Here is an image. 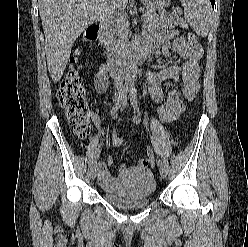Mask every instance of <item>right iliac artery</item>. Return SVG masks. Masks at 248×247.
<instances>
[{
  "label": "right iliac artery",
  "mask_w": 248,
  "mask_h": 247,
  "mask_svg": "<svg viewBox=\"0 0 248 247\" xmlns=\"http://www.w3.org/2000/svg\"><path fill=\"white\" fill-rule=\"evenodd\" d=\"M127 92H128V87H124L122 90L121 96H119L118 101L115 103V105L111 109V117L117 116V112H118L119 108L121 107V104L123 102V98L127 95ZM99 154H100V150H97L95 153L94 161L99 157Z\"/></svg>",
  "instance_id": "right-iliac-artery-1"
}]
</instances>
